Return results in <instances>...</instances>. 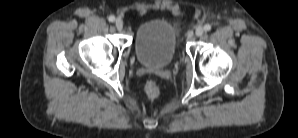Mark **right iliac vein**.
<instances>
[{
	"label": "right iliac vein",
	"mask_w": 298,
	"mask_h": 138,
	"mask_svg": "<svg viewBox=\"0 0 298 138\" xmlns=\"http://www.w3.org/2000/svg\"><path fill=\"white\" fill-rule=\"evenodd\" d=\"M115 26L118 30H122L123 26H124V23L120 18H117L116 21H115Z\"/></svg>",
	"instance_id": "right-iliac-vein-1"
}]
</instances>
